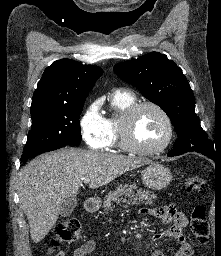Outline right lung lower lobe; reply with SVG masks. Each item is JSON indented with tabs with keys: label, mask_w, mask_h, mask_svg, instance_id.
Segmentation results:
<instances>
[{
	"label": "right lung lower lobe",
	"mask_w": 221,
	"mask_h": 256,
	"mask_svg": "<svg viewBox=\"0 0 221 256\" xmlns=\"http://www.w3.org/2000/svg\"><path fill=\"white\" fill-rule=\"evenodd\" d=\"M61 147H64V146H59V147H56V148L50 149V150H48L47 152L52 151V150L59 149V148H61Z\"/></svg>",
	"instance_id": "98d812e1"
}]
</instances>
